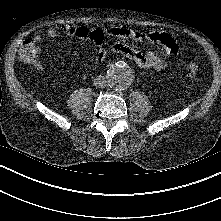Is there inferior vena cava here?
I'll list each match as a JSON object with an SVG mask.
<instances>
[{"label": "inferior vena cava", "mask_w": 221, "mask_h": 221, "mask_svg": "<svg viewBox=\"0 0 221 221\" xmlns=\"http://www.w3.org/2000/svg\"><path fill=\"white\" fill-rule=\"evenodd\" d=\"M94 85L98 88H105L107 87L108 82L104 76L99 75L94 79Z\"/></svg>", "instance_id": "1"}]
</instances>
